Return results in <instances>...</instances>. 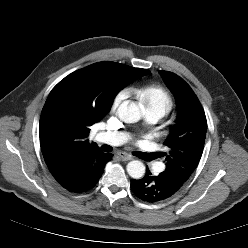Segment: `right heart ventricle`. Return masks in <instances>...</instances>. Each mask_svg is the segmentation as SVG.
Returning <instances> with one entry per match:
<instances>
[{"label": "right heart ventricle", "instance_id": "1", "mask_svg": "<svg viewBox=\"0 0 248 248\" xmlns=\"http://www.w3.org/2000/svg\"><path fill=\"white\" fill-rule=\"evenodd\" d=\"M145 111H154L166 115L174 105L171 94L162 86L156 84L143 85L133 89Z\"/></svg>", "mask_w": 248, "mask_h": 248}]
</instances>
